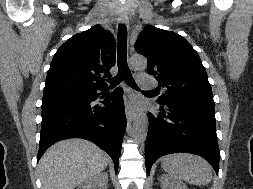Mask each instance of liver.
<instances>
[{"label":"liver","instance_id":"obj_1","mask_svg":"<svg viewBox=\"0 0 253 189\" xmlns=\"http://www.w3.org/2000/svg\"><path fill=\"white\" fill-rule=\"evenodd\" d=\"M109 162L110 157L92 142L60 141L39 161L42 189H73L102 172Z\"/></svg>","mask_w":253,"mask_h":189}]
</instances>
